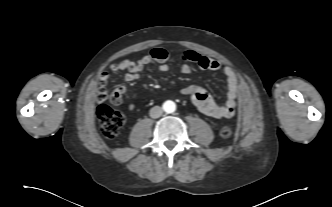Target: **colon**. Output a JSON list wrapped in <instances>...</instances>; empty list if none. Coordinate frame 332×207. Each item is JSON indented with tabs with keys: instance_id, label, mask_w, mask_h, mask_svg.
<instances>
[{
	"instance_id": "colon-1",
	"label": "colon",
	"mask_w": 332,
	"mask_h": 207,
	"mask_svg": "<svg viewBox=\"0 0 332 207\" xmlns=\"http://www.w3.org/2000/svg\"><path fill=\"white\" fill-rule=\"evenodd\" d=\"M107 95L104 91H101L99 94V101L100 104L97 108V116L100 122V128L102 134L109 139L115 138L125 121L124 115L108 106L104 103L106 100ZM120 95L117 94L115 91L110 95V102L113 104H118L120 102ZM232 134V131L229 127H223L220 131V135L223 138H229Z\"/></svg>"
}]
</instances>
